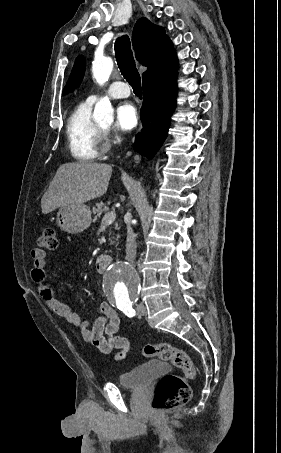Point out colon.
Listing matches in <instances>:
<instances>
[{
  "label": "colon",
  "instance_id": "1",
  "mask_svg": "<svg viewBox=\"0 0 281 453\" xmlns=\"http://www.w3.org/2000/svg\"><path fill=\"white\" fill-rule=\"evenodd\" d=\"M57 233L58 228L55 226L44 227L37 241L39 250H54ZM143 353L146 358H158L181 371V374L169 373L158 380L152 401L154 411L167 413L189 402L191 392L185 378H194L198 374V367L189 359L187 353L170 344L150 345Z\"/></svg>",
  "mask_w": 281,
  "mask_h": 453
}]
</instances>
